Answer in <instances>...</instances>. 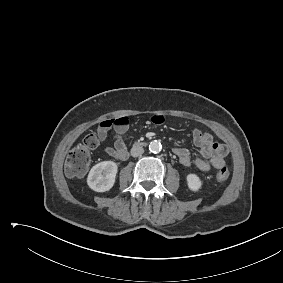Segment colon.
Returning <instances> with one entry per match:
<instances>
[{
  "label": "colon",
  "mask_w": 283,
  "mask_h": 283,
  "mask_svg": "<svg viewBox=\"0 0 283 283\" xmlns=\"http://www.w3.org/2000/svg\"><path fill=\"white\" fill-rule=\"evenodd\" d=\"M99 145L98 135L91 133L85 136L82 142L76 145L68 153L66 158V172L69 176L76 177L84 175L90 165L91 152ZM230 172L226 167L216 172V178L220 182L228 180Z\"/></svg>",
  "instance_id": "5ec220e1"
}]
</instances>
